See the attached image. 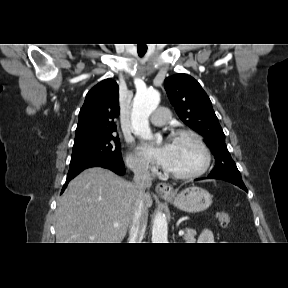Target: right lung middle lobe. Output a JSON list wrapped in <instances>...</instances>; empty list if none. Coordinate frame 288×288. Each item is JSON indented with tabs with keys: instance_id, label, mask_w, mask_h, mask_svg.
Instances as JSON below:
<instances>
[{
	"instance_id": "dd1d6c3e",
	"label": "right lung middle lobe",
	"mask_w": 288,
	"mask_h": 288,
	"mask_svg": "<svg viewBox=\"0 0 288 288\" xmlns=\"http://www.w3.org/2000/svg\"><path fill=\"white\" fill-rule=\"evenodd\" d=\"M102 157L116 163H123L121 145L115 134L92 137L74 142L71 162Z\"/></svg>"
}]
</instances>
